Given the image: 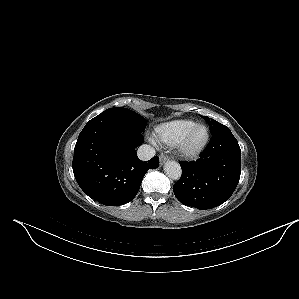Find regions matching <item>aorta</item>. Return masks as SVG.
Returning <instances> with one entry per match:
<instances>
[{
    "instance_id": "aorta-1",
    "label": "aorta",
    "mask_w": 299,
    "mask_h": 299,
    "mask_svg": "<svg viewBox=\"0 0 299 299\" xmlns=\"http://www.w3.org/2000/svg\"><path fill=\"white\" fill-rule=\"evenodd\" d=\"M164 172L169 178L178 180L181 177L182 170L177 162L168 161L164 165Z\"/></svg>"
}]
</instances>
